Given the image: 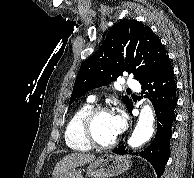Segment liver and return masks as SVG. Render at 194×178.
I'll list each match as a JSON object with an SVG mask.
<instances>
[{
  "label": "liver",
  "instance_id": "obj_1",
  "mask_svg": "<svg viewBox=\"0 0 194 178\" xmlns=\"http://www.w3.org/2000/svg\"><path fill=\"white\" fill-rule=\"evenodd\" d=\"M96 159L95 155L90 153H71L63 157L55 166L52 173L54 178H57L62 173L93 162Z\"/></svg>",
  "mask_w": 194,
  "mask_h": 178
}]
</instances>
